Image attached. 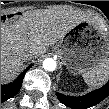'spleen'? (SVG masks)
I'll return each instance as SVG.
<instances>
[{"label": "spleen", "mask_w": 109, "mask_h": 109, "mask_svg": "<svg viewBox=\"0 0 109 109\" xmlns=\"http://www.w3.org/2000/svg\"><path fill=\"white\" fill-rule=\"evenodd\" d=\"M83 79L89 87H101L109 79V62L84 73Z\"/></svg>", "instance_id": "spleen-1"}]
</instances>
